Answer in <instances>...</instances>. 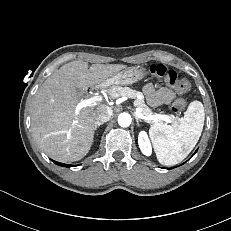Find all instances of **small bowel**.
Instances as JSON below:
<instances>
[{"instance_id": "1", "label": "small bowel", "mask_w": 231, "mask_h": 231, "mask_svg": "<svg viewBox=\"0 0 231 231\" xmlns=\"http://www.w3.org/2000/svg\"><path fill=\"white\" fill-rule=\"evenodd\" d=\"M143 91L148 102L154 106L169 104L175 98L174 91L166 87L155 89L152 84H147Z\"/></svg>"}]
</instances>
